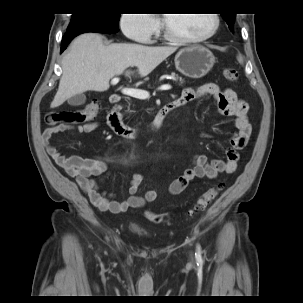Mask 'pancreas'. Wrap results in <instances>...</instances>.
<instances>
[{"instance_id": "cf45deb5", "label": "pancreas", "mask_w": 303, "mask_h": 303, "mask_svg": "<svg viewBox=\"0 0 303 303\" xmlns=\"http://www.w3.org/2000/svg\"><path fill=\"white\" fill-rule=\"evenodd\" d=\"M172 77L176 80H178L180 82V84L184 83V80L182 79V77H180L179 75L175 74V73H171ZM130 110L128 109L127 112H129Z\"/></svg>"}]
</instances>
